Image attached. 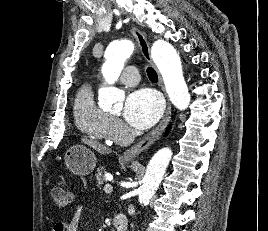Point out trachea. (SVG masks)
I'll return each mask as SVG.
<instances>
[{"label": "trachea", "instance_id": "trachea-1", "mask_svg": "<svg viewBox=\"0 0 268 231\" xmlns=\"http://www.w3.org/2000/svg\"><path fill=\"white\" fill-rule=\"evenodd\" d=\"M147 74H148V77L150 80H152V81L158 80L157 73L153 68H147Z\"/></svg>", "mask_w": 268, "mask_h": 231}]
</instances>
